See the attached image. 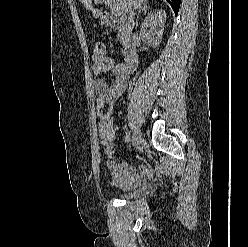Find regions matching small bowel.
Returning a JSON list of instances; mask_svg holds the SVG:
<instances>
[{"label": "small bowel", "instance_id": "1", "mask_svg": "<svg viewBox=\"0 0 248 247\" xmlns=\"http://www.w3.org/2000/svg\"><path fill=\"white\" fill-rule=\"evenodd\" d=\"M93 73L95 74L94 88L97 96V117L99 119L98 133L106 157V166L115 185L133 187L150 176L146 165L139 167L118 163L116 156V133L119 127L112 118L114 103L122 96L128 85V71L123 64H118L111 57L101 59L93 56ZM109 72L112 84H109L101 74Z\"/></svg>", "mask_w": 248, "mask_h": 247}]
</instances>
